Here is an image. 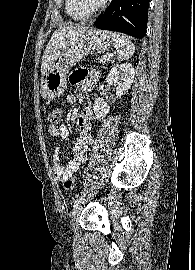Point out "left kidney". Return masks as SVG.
<instances>
[{"label": "left kidney", "instance_id": "left-kidney-1", "mask_svg": "<svg viewBox=\"0 0 195 270\" xmlns=\"http://www.w3.org/2000/svg\"><path fill=\"white\" fill-rule=\"evenodd\" d=\"M134 76L135 69L133 66L129 63H123L114 66L110 70L104 83L113 84L116 86V95L117 97H121L130 89ZM99 90L102 91L101 95H104V84L99 87ZM109 111L110 107L108 106L106 100L103 97L97 98L94 102V114L96 119H104Z\"/></svg>", "mask_w": 195, "mask_h": 270}]
</instances>
